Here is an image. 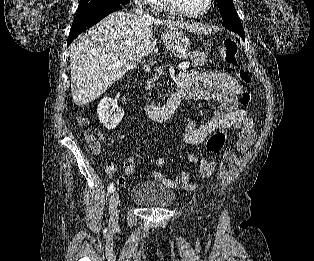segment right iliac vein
<instances>
[{
  "label": "right iliac vein",
  "instance_id": "1",
  "mask_svg": "<svg viewBox=\"0 0 314 261\" xmlns=\"http://www.w3.org/2000/svg\"><path fill=\"white\" fill-rule=\"evenodd\" d=\"M118 204H119V195L117 192H113L109 202V212H110V222L115 224L118 219Z\"/></svg>",
  "mask_w": 314,
  "mask_h": 261
}]
</instances>
